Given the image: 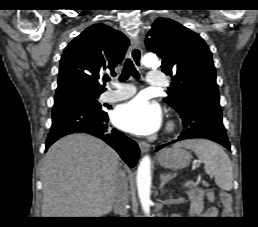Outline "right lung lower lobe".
Masks as SVG:
<instances>
[{
	"label": "right lung lower lobe",
	"mask_w": 258,
	"mask_h": 227,
	"mask_svg": "<svg viewBox=\"0 0 258 227\" xmlns=\"http://www.w3.org/2000/svg\"><path fill=\"white\" fill-rule=\"evenodd\" d=\"M106 112H93L77 104H63L52 109V126L46 140V150L59 138L76 132L94 135L112 148L130 166L134 167L139 148L135 141L108 126Z\"/></svg>",
	"instance_id": "obj_1"
}]
</instances>
